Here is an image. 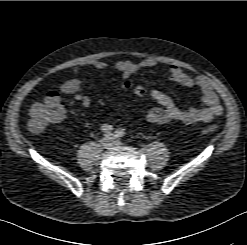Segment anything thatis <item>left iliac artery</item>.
Wrapping results in <instances>:
<instances>
[{
  "instance_id": "left-iliac-artery-1",
  "label": "left iliac artery",
  "mask_w": 247,
  "mask_h": 245,
  "mask_svg": "<svg viewBox=\"0 0 247 245\" xmlns=\"http://www.w3.org/2000/svg\"><path fill=\"white\" fill-rule=\"evenodd\" d=\"M115 135H116L117 137H123V136L125 135L124 129H122V128L116 129Z\"/></svg>"
}]
</instances>
